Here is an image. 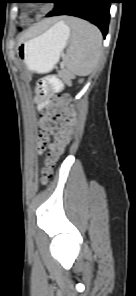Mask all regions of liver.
I'll list each match as a JSON object with an SVG mask.
<instances>
[{
    "mask_svg": "<svg viewBox=\"0 0 136 296\" xmlns=\"http://www.w3.org/2000/svg\"><path fill=\"white\" fill-rule=\"evenodd\" d=\"M51 20H44L41 23L37 24L36 26L32 27L29 31L25 32L22 38H25L29 35H32L36 33L37 31L41 30L43 27H45L47 24H49Z\"/></svg>",
    "mask_w": 136,
    "mask_h": 296,
    "instance_id": "6515ba94",
    "label": "liver"
}]
</instances>
